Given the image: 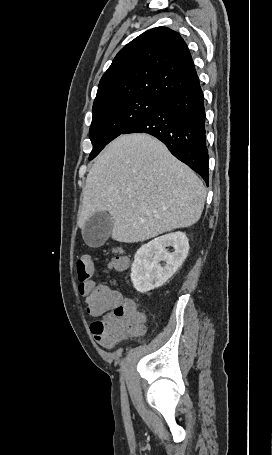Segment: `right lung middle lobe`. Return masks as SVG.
Here are the masks:
<instances>
[{
    "label": "right lung middle lobe",
    "mask_w": 272,
    "mask_h": 455,
    "mask_svg": "<svg viewBox=\"0 0 272 455\" xmlns=\"http://www.w3.org/2000/svg\"><path fill=\"white\" fill-rule=\"evenodd\" d=\"M164 99L135 96L93 108L90 140L93 145L89 160L95 158L110 141L158 108Z\"/></svg>",
    "instance_id": "right-lung-middle-lobe-1"
}]
</instances>
